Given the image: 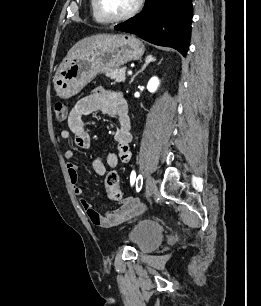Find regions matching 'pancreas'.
<instances>
[{
    "instance_id": "pancreas-1",
    "label": "pancreas",
    "mask_w": 261,
    "mask_h": 306,
    "mask_svg": "<svg viewBox=\"0 0 261 306\" xmlns=\"http://www.w3.org/2000/svg\"><path fill=\"white\" fill-rule=\"evenodd\" d=\"M125 72H126L125 68L116 69V70L108 72L106 76L112 80H115V82L122 83V82H125V79H126Z\"/></svg>"
}]
</instances>
